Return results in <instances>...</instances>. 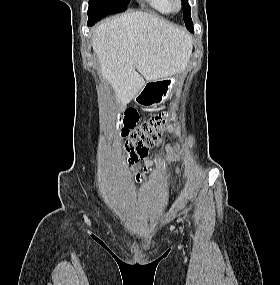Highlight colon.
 <instances>
[{
    "instance_id": "colon-1",
    "label": "colon",
    "mask_w": 280,
    "mask_h": 285,
    "mask_svg": "<svg viewBox=\"0 0 280 285\" xmlns=\"http://www.w3.org/2000/svg\"><path fill=\"white\" fill-rule=\"evenodd\" d=\"M174 118L173 113L162 112L137 126L138 113L133 109L128 110L122 134L128 138L126 148L131 153L130 160L145 157L148 148L153 146L164 132L173 129Z\"/></svg>"
}]
</instances>
